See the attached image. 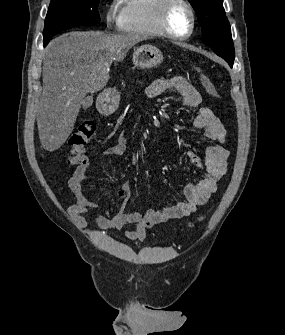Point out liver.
<instances>
[{
	"mask_svg": "<svg viewBox=\"0 0 285 335\" xmlns=\"http://www.w3.org/2000/svg\"><path fill=\"white\" fill-rule=\"evenodd\" d=\"M147 40L141 34L68 32L51 40L43 58V94L37 126L40 142L55 152L73 132L86 94L105 88L112 62Z\"/></svg>",
	"mask_w": 285,
	"mask_h": 335,
	"instance_id": "liver-1",
	"label": "liver"
}]
</instances>
